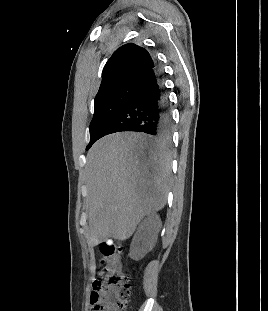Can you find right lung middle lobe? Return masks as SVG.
Listing matches in <instances>:
<instances>
[{
    "mask_svg": "<svg viewBox=\"0 0 268 311\" xmlns=\"http://www.w3.org/2000/svg\"><path fill=\"white\" fill-rule=\"evenodd\" d=\"M135 88L136 84L125 85L94 101V115L89 127L90 142L86 150L103 136L108 125L128 103Z\"/></svg>",
    "mask_w": 268,
    "mask_h": 311,
    "instance_id": "obj_1",
    "label": "right lung middle lobe"
}]
</instances>
